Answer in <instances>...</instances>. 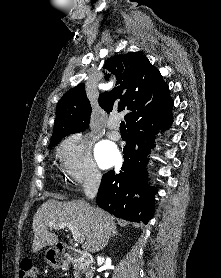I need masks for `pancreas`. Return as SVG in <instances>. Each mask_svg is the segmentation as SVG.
<instances>
[{
	"mask_svg": "<svg viewBox=\"0 0 221 278\" xmlns=\"http://www.w3.org/2000/svg\"><path fill=\"white\" fill-rule=\"evenodd\" d=\"M74 269H75V271H74V276H75V278H81V276H80V273H79V270H78L77 266H75V267H74Z\"/></svg>",
	"mask_w": 221,
	"mask_h": 278,
	"instance_id": "pancreas-1",
	"label": "pancreas"
}]
</instances>
